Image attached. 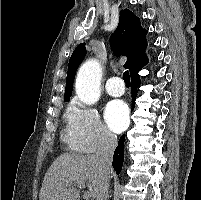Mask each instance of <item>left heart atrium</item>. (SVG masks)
I'll return each instance as SVG.
<instances>
[{
    "mask_svg": "<svg viewBox=\"0 0 201 200\" xmlns=\"http://www.w3.org/2000/svg\"><path fill=\"white\" fill-rule=\"evenodd\" d=\"M105 120L114 132H121L128 124L129 111L125 102L111 101L105 109Z\"/></svg>",
    "mask_w": 201,
    "mask_h": 200,
    "instance_id": "39dd6f15",
    "label": "left heart atrium"
}]
</instances>
